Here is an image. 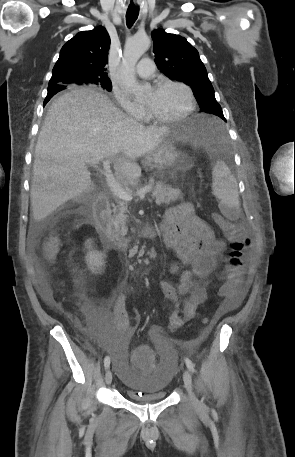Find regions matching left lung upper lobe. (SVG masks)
<instances>
[{"mask_svg": "<svg viewBox=\"0 0 295 457\" xmlns=\"http://www.w3.org/2000/svg\"><path fill=\"white\" fill-rule=\"evenodd\" d=\"M151 36L155 61L160 71L169 79L190 86L204 112L225 119L198 51L184 37L166 33L162 29L152 31Z\"/></svg>", "mask_w": 295, "mask_h": 457, "instance_id": "obj_1", "label": "left lung upper lobe"}]
</instances>
